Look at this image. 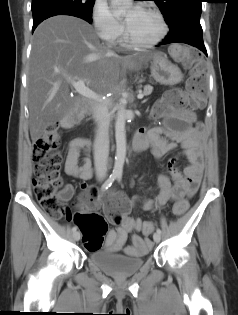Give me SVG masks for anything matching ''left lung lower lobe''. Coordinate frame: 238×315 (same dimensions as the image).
Masks as SVG:
<instances>
[{
  "mask_svg": "<svg viewBox=\"0 0 238 315\" xmlns=\"http://www.w3.org/2000/svg\"><path fill=\"white\" fill-rule=\"evenodd\" d=\"M175 42L195 46L207 55L202 37L200 15H191L182 19L176 27L170 29L169 34L165 37L164 41L160 43V45Z\"/></svg>",
  "mask_w": 238,
  "mask_h": 315,
  "instance_id": "left-lung-lower-lobe-1",
  "label": "left lung lower lobe"
}]
</instances>
